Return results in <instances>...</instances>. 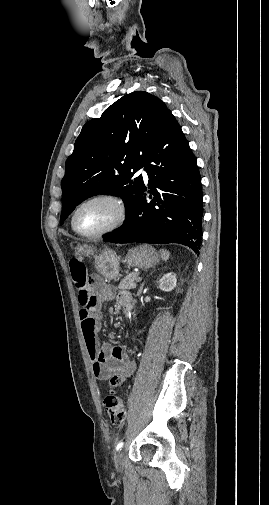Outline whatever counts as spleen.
Here are the masks:
<instances>
[{"label":"spleen","instance_id":"obj_1","mask_svg":"<svg viewBox=\"0 0 269 505\" xmlns=\"http://www.w3.org/2000/svg\"><path fill=\"white\" fill-rule=\"evenodd\" d=\"M160 255L164 261H167L169 259L170 253L166 249H160Z\"/></svg>","mask_w":269,"mask_h":505}]
</instances>
